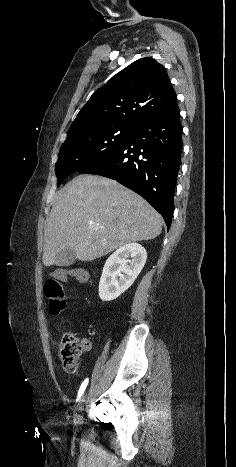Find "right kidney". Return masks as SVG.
Masks as SVG:
<instances>
[{
	"mask_svg": "<svg viewBox=\"0 0 236 467\" xmlns=\"http://www.w3.org/2000/svg\"><path fill=\"white\" fill-rule=\"evenodd\" d=\"M147 259V252L138 243H129L117 249L106 260L99 282V297L112 301L135 281Z\"/></svg>",
	"mask_w": 236,
	"mask_h": 467,
	"instance_id": "1",
	"label": "right kidney"
}]
</instances>
